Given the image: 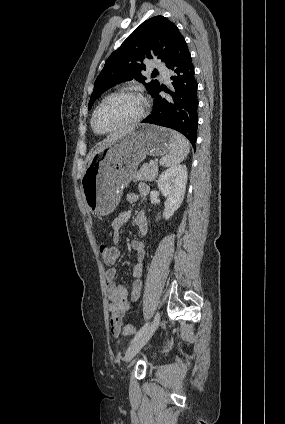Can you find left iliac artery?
Listing matches in <instances>:
<instances>
[{
	"mask_svg": "<svg viewBox=\"0 0 285 424\" xmlns=\"http://www.w3.org/2000/svg\"><path fill=\"white\" fill-rule=\"evenodd\" d=\"M149 327V322L145 323L141 329L138 331V333L135 335V337L132 339L131 344H133L144 332L145 330Z\"/></svg>",
	"mask_w": 285,
	"mask_h": 424,
	"instance_id": "obj_1",
	"label": "left iliac artery"
}]
</instances>
